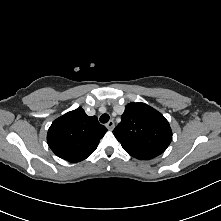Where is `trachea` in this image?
<instances>
[{"instance_id":"obj_1","label":"trachea","mask_w":221,"mask_h":221,"mask_svg":"<svg viewBox=\"0 0 221 221\" xmlns=\"http://www.w3.org/2000/svg\"><path fill=\"white\" fill-rule=\"evenodd\" d=\"M109 119H110V117H109L108 114H102V115L100 116V122H101V123H107V122L109 121Z\"/></svg>"}]
</instances>
